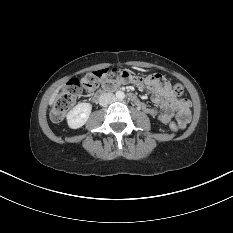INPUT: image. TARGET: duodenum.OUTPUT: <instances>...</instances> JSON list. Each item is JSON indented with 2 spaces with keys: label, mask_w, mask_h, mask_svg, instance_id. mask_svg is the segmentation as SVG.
<instances>
[{
  "label": "duodenum",
  "mask_w": 233,
  "mask_h": 233,
  "mask_svg": "<svg viewBox=\"0 0 233 233\" xmlns=\"http://www.w3.org/2000/svg\"><path fill=\"white\" fill-rule=\"evenodd\" d=\"M105 91H108V89H106ZM128 97H129V99H130L133 103H135L136 105H139V104H140V100H139L134 94L130 93V94L128 95Z\"/></svg>",
  "instance_id": "duodenum-1"
}]
</instances>
